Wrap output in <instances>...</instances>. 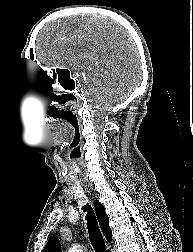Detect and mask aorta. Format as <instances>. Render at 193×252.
Returning <instances> with one entry per match:
<instances>
[{"label":"aorta","mask_w":193,"mask_h":252,"mask_svg":"<svg viewBox=\"0 0 193 252\" xmlns=\"http://www.w3.org/2000/svg\"><path fill=\"white\" fill-rule=\"evenodd\" d=\"M68 252H83V250L81 249V247L79 245L73 244Z\"/></svg>","instance_id":"obj_1"}]
</instances>
